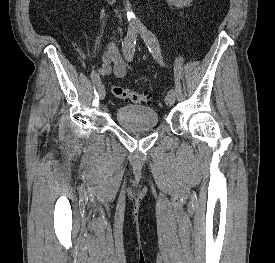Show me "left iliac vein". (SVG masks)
<instances>
[{
	"instance_id": "left-iliac-vein-1",
	"label": "left iliac vein",
	"mask_w": 275,
	"mask_h": 263,
	"mask_svg": "<svg viewBox=\"0 0 275 263\" xmlns=\"http://www.w3.org/2000/svg\"><path fill=\"white\" fill-rule=\"evenodd\" d=\"M165 103L169 106H172L174 105L175 103V95L173 94H167L166 97H165Z\"/></svg>"
}]
</instances>
